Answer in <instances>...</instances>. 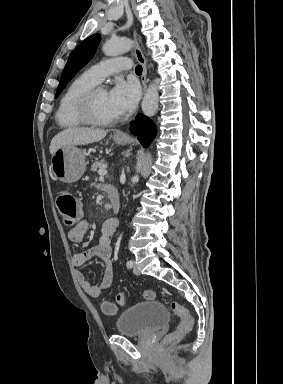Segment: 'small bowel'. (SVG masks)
Returning a JSON list of instances; mask_svg holds the SVG:
<instances>
[{
    "instance_id": "1",
    "label": "small bowel",
    "mask_w": 283,
    "mask_h": 384,
    "mask_svg": "<svg viewBox=\"0 0 283 384\" xmlns=\"http://www.w3.org/2000/svg\"><path fill=\"white\" fill-rule=\"evenodd\" d=\"M89 227L88 220L82 218L78 223L68 231L67 236L71 242L80 243ZM118 227L116 218H108L101 227V236L95 246L87 251L79 252L73 255L74 266L80 267L93 258H98L104 263L103 277L99 285H92L81 271L77 272V279L82 290L88 297L95 299L100 296L102 291L108 289L113 282L114 270L112 261L111 239Z\"/></svg>"
}]
</instances>
